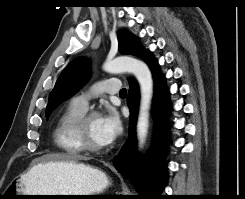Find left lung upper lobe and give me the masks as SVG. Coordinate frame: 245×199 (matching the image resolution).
<instances>
[{
  "instance_id": "1",
  "label": "left lung upper lobe",
  "mask_w": 245,
  "mask_h": 199,
  "mask_svg": "<svg viewBox=\"0 0 245 199\" xmlns=\"http://www.w3.org/2000/svg\"><path fill=\"white\" fill-rule=\"evenodd\" d=\"M119 51L121 54L134 55L143 60L149 53L139 41L126 31L118 32ZM87 62L82 58H77L70 62L59 76L48 100L46 108V118L64 100L70 98L87 80Z\"/></svg>"
}]
</instances>
